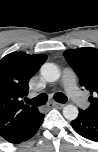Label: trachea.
Instances as JSON below:
<instances>
[{"mask_svg": "<svg viewBox=\"0 0 98 152\" xmlns=\"http://www.w3.org/2000/svg\"><path fill=\"white\" fill-rule=\"evenodd\" d=\"M47 100V95L42 93L33 99H27L26 102L34 106H41L44 105L47 102ZM54 100L59 103H66L68 101V98L63 93H56L54 94Z\"/></svg>", "mask_w": 98, "mask_h": 152, "instance_id": "trachea-1", "label": "trachea"}]
</instances>
